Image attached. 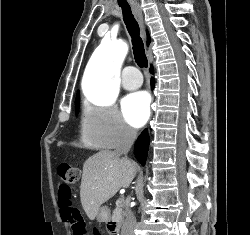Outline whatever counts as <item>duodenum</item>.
I'll return each instance as SVG.
<instances>
[{"label":"duodenum","mask_w":250,"mask_h":235,"mask_svg":"<svg viewBox=\"0 0 250 235\" xmlns=\"http://www.w3.org/2000/svg\"><path fill=\"white\" fill-rule=\"evenodd\" d=\"M110 235H119V232L117 231V229L115 228V223L111 222L110 223Z\"/></svg>","instance_id":"1"}]
</instances>
